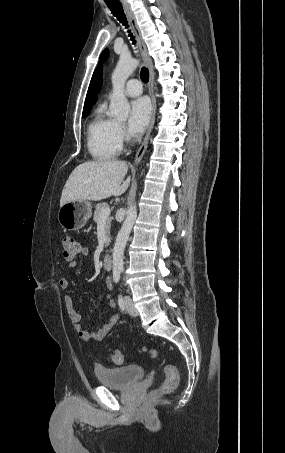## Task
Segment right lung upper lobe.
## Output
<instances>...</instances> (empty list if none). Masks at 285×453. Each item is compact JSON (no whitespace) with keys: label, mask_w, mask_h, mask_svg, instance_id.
Listing matches in <instances>:
<instances>
[{"label":"right lung upper lobe","mask_w":285,"mask_h":453,"mask_svg":"<svg viewBox=\"0 0 285 453\" xmlns=\"http://www.w3.org/2000/svg\"><path fill=\"white\" fill-rule=\"evenodd\" d=\"M102 85V67H98L92 76L89 89L86 95L83 112L90 111L97 100V94L100 92Z\"/></svg>","instance_id":"cb5924a9"}]
</instances>
